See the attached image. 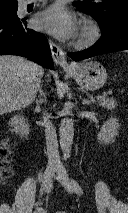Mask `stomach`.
I'll return each instance as SVG.
<instances>
[{
    "mask_svg": "<svg viewBox=\"0 0 128 213\" xmlns=\"http://www.w3.org/2000/svg\"><path fill=\"white\" fill-rule=\"evenodd\" d=\"M86 90L101 88L106 80V69L97 61L83 62L67 71Z\"/></svg>",
    "mask_w": 128,
    "mask_h": 213,
    "instance_id": "obj_1",
    "label": "stomach"
}]
</instances>
